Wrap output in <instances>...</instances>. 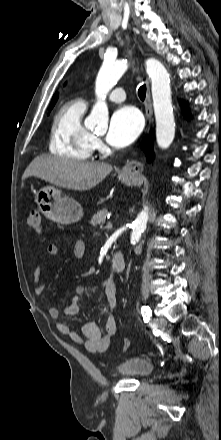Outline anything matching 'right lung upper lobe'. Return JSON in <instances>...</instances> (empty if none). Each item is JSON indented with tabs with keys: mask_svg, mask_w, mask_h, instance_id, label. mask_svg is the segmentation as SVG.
Here are the masks:
<instances>
[{
	"mask_svg": "<svg viewBox=\"0 0 221 440\" xmlns=\"http://www.w3.org/2000/svg\"><path fill=\"white\" fill-rule=\"evenodd\" d=\"M57 97H58V95H57V94H55V95H54V97H53V100H52V102H51V104H50V107H49V108H51V107H53V106H54V104H55V102H56V100H57Z\"/></svg>",
	"mask_w": 221,
	"mask_h": 440,
	"instance_id": "right-lung-upper-lobe-1",
	"label": "right lung upper lobe"
}]
</instances>
